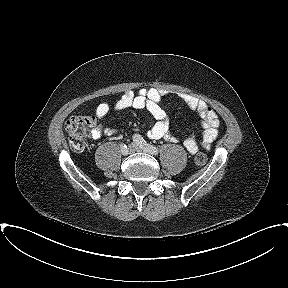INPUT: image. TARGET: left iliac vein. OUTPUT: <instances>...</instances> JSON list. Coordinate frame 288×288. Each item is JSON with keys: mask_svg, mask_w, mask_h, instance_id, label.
<instances>
[{"mask_svg": "<svg viewBox=\"0 0 288 288\" xmlns=\"http://www.w3.org/2000/svg\"><path fill=\"white\" fill-rule=\"evenodd\" d=\"M134 147L135 151H144V149H142L140 146L136 145V144H132Z\"/></svg>", "mask_w": 288, "mask_h": 288, "instance_id": "1", "label": "left iliac vein"}]
</instances>
